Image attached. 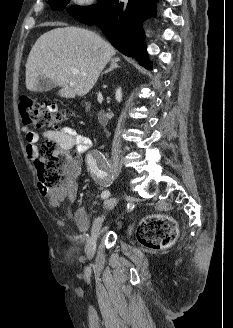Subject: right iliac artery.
I'll use <instances>...</instances> for the list:
<instances>
[{"label":"right iliac artery","instance_id":"1","mask_svg":"<svg viewBox=\"0 0 233 328\" xmlns=\"http://www.w3.org/2000/svg\"><path fill=\"white\" fill-rule=\"evenodd\" d=\"M87 163L89 170L92 174V177L102 187L108 186V174L106 170L108 169V162L105 159L104 155L99 151H93L91 152L87 157ZM110 195V192L108 190H105L101 194L102 199L108 198Z\"/></svg>","mask_w":233,"mask_h":328}]
</instances>
